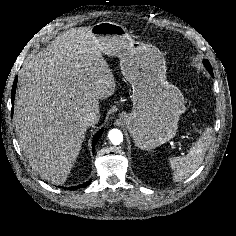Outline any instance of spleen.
<instances>
[{
    "instance_id": "1",
    "label": "spleen",
    "mask_w": 236,
    "mask_h": 236,
    "mask_svg": "<svg viewBox=\"0 0 236 236\" xmlns=\"http://www.w3.org/2000/svg\"><path fill=\"white\" fill-rule=\"evenodd\" d=\"M212 128L206 127L204 133L183 157H171L170 164L173 169V181L181 182L194 173L202 164L205 154L210 146Z\"/></svg>"
}]
</instances>
